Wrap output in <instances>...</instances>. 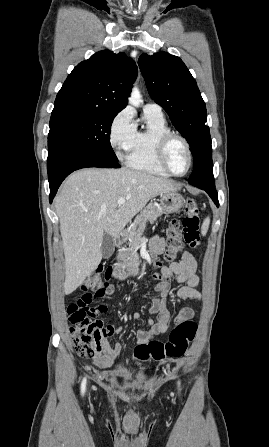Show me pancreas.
<instances>
[{
	"label": "pancreas",
	"mask_w": 269,
	"mask_h": 447,
	"mask_svg": "<svg viewBox=\"0 0 269 447\" xmlns=\"http://www.w3.org/2000/svg\"><path fill=\"white\" fill-rule=\"evenodd\" d=\"M161 214L162 212H159L157 206L148 204V206L140 212L139 216L135 218L133 224L128 227L127 239L129 247H121V249H118L119 253L117 257L118 259H122L124 265L129 267V269H138L140 259L138 257L137 247H139L144 227H146L147 222L154 224L158 216H161Z\"/></svg>",
	"instance_id": "obj_1"
}]
</instances>
